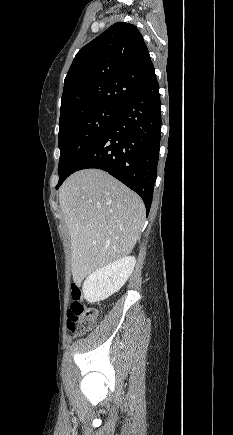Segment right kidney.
<instances>
[{
    "label": "right kidney",
    "instance_id": "ca27d5eb",
    "mask_svg": "<svg viewBox=\"0 0 233 435\" xmlns=\"http://www.w3.org/2000/svg\"><path fill=\"white\" fill-rule=\"evenodd\" d=\"M135 264V257L127 256L97 269L83 283L84 298L89 303L107 299L125 284L132 274Z\"/></svg>",
    "mask_w": 233,
    "mask_h": 435
}]
</instances>
